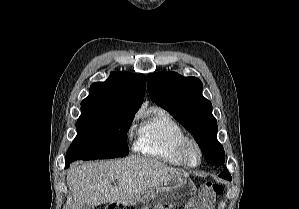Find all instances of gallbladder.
<instances>
[{"instance_id":"1","label":"gallbladder","mask_w":299,"mask_h":209,"mask_svg":"<svg viewBox=\"0 0 299 209\" xmlns=\"http://www.w3.org/2000/svg\"><path fill=\"white\" fill-rule=\"evenodd\" d=\"M82 209H94V207L89 204H84Z\"/></svg>"}]
</instances>
